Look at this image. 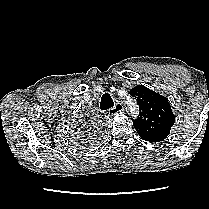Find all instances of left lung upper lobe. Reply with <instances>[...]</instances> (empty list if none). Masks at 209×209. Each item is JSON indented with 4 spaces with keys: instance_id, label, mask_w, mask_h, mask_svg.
Returning <instances> with one entry per match:
<instances>
[{
    "instance_id": "1",
    "label": "left lung upper lobe",
    "mask_w": 209,
    "mask_h": 209,
    "mask_svg": "<svg viewBox=\"0 0 209 209\" xmlns=\"http://www.w3.org/2000/svg\"><path fill=\"white\" fill-rule=\"evenodd\" d=\"M139 104V115L133 126L139 136L149 142L163 141L170 133L175 116L166 97L138 85L130 90Z\"/></svg>"
}]
</instances>
